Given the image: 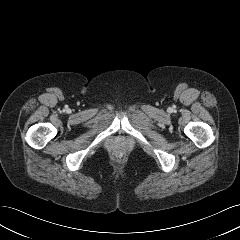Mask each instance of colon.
Wrapping results in <instances>:
<instances>
[{
    "label": "colon",
    "mask_w": 240,
    "mask_h": 240,
    "mask_svg": "<svg viewBox=\"0 0 240 240\" xmlns=\"http://www.w3.org/2000/svg\"><path fill=\"white\" fill-rule=\"evenodd\" d=\"M122 152L120 150H116L114 151V156L117 158V159H120L122 157Z\"/></svg>",
    "instance_id": "5ec220e1"
}]
</instances>
